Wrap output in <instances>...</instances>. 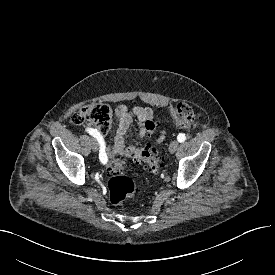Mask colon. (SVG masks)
Instances as JSON below:
<instances>
[{"label":"colon","mask_w":275,"mask_h":275,"mask_svg":"<svg viewBox=\"0 0 275 275\" xmlns=\"http://www.w3.org/2000/svg\"><path fill=\"white\" fill-rule=\"evenodd\" d=\"M171 115L178 128H188L194 121L193 108L185 102H179L171 107ZM112 109L104 103H90L77 110L71 117L75 125L84 123L94 124L102 133H106L112 123ZM152 130L155 128L153 121L148 123ZM135 160L143 164L149 171L158 172L161 162L151 147L141 148L136 151ZM125 163L122 159L112 160L107 168L110 179L108 182L109 198L113 205H122L126 200L135 196L137 189L131 178L123 174Z\"/></svg>","instance_id":"1"}]
</instances>
